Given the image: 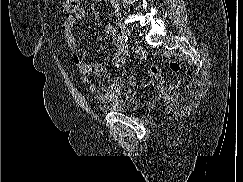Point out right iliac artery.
I'll list each match as a JSON object with an SVG mask.
<instances>
[{
    "mask_svg": "<svg viewBox=\"0 0 243 182\" xmlns=\"http://www.w3.org/2000/svg\"><path fill=\"white\" fill-rule=\"evenodd\" d=\"M118 39H119L121 42L126 43V42L128 41V36L122 34V35H119V36H118Z\"/></svg>",
    "mask_w": 243,
    "mask_h": 182,
    "instance_id": "82829eb1",
    "label": "right iliac artery"
}]
</instances>
